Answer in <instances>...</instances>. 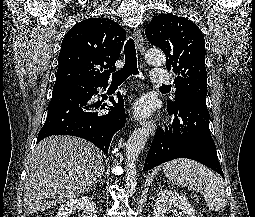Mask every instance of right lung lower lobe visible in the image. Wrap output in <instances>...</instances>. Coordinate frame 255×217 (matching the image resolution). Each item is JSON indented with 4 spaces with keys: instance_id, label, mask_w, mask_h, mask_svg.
I'll return each mask as SVG.
<instances>
[{
    "instance_id": "right-lung-lower-lobe-1",
    "label": "right lung lower lobe",
    "mask_w": 255,
    "mask_h": 217,
    "mask_svg": "<svg viewBox=\"0 0 255 217\" xmlns=\"http://www.w3.org/2000/svg\"><path fill=\"white\" fill-rule=\"evenodd\" d=\"M98 87L106 88L107 83L55 84L47 119L38 134L37 142L51 135H72L94 143L106 154L114 133L123 128L126 117L123 97L119 92L118 102L110 99L113 107H108V114L95 112V109L103 110L107 106L89 103L91 97L98 93Z\"/></svg>"
}]
</instances>
